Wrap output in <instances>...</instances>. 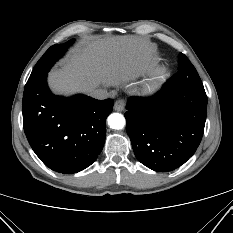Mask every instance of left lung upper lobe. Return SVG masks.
<instances>
[{
	"label": "left lung upper lobe",
	"mask_w": 233,
	"mask_h": 233,
	"mask_svg": "<svg viewBox=\"0 0 233 233\" xmlns=\"http://www.w3.org/2000/svg\"><path fill=\"white\" fill-rule=\"evenodd\" d=\"M167 82L180 88L205 92L196 69L182 53L179 54L178 72Z\"/></svg>",
	"instance_id": "5c2ea615"
}]
</instances>
